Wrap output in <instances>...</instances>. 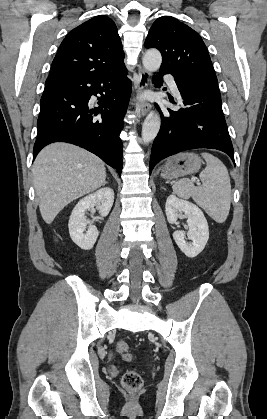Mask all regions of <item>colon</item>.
<instances>
[{"mask_svg":"<svg viewBox=\"0 0 267 419\" xmlns=\"http://www.w3.org/2000/svg\"><path fill=\"white\" fill-rule=\"evenodd\" d=\"M116 350L124 360L130 361L132 359L128 343L119 341L116 344ZM122 383L126 389L136 391L142 386L143 380L137 371L129 370L123 375Z\"/></svg>","mask_w":267,"mask_h":419,"instance_id":"5ec220e1","label":"colon"}]
</instances>
